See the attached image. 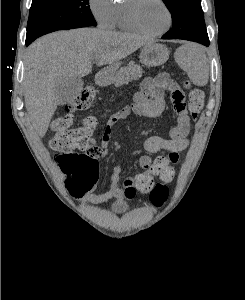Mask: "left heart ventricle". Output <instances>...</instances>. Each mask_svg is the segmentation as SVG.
I'll return each mask as SVG.
<instances>
[{
    "instance_id": "obj_1",
    "label": "left heart ventricle",
    "mask_w": 245,
    "mask_h": 300,
    "mask_svg": "<svg viewBox=\"0 0 245 300\" xmlns=\"http://www.w3.org/2000/svg\"><path fill=\"white\" fill-rule=\"evenodd\" d=\"M137 13L140 23L149 31L156 32L167 25L166 11L157 0H142Z\"/></svg>"
}]
</instances>
